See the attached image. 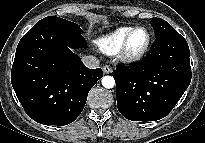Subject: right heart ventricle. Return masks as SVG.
Returning a JSON list of instances; mask_svg holds the SVG:
<instances>
[{
	"instance_id": "1",
	"label": "right heart ventricle",
	"mask_w": 205,
	"mask_h": 143,
	"mask_svg": "<svg viewBox=\"0 0 205 143\" xmlns=\"http://www.w3.org/2000/svg\"><path fill=\"white\" fill-rule=\"evenodd\" d=\"M132 26H123L97 39L96 44L101 52L107 55L117 54L121 45L132 29Z\"/></svg>"
}]
</instances>
